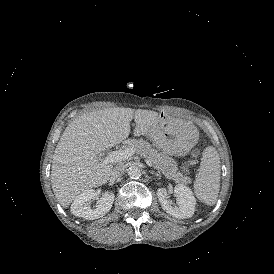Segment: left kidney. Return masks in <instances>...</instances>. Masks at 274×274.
I'll return each mask as SVG.
<instances>
[{
  "label": "left kidney",
  "mask_w": 274,
  "mask_h": 274,
  "mask_svg": "<svg viewBox=\"0 0 274 274\" xmlns=\"http://www.w3.org/2000/svg\"><path fill=\"white\" fill-rule=\"evenodd\" d=\"M177 199V204L169 202L170 194ZM157 198L161 208L178 219L191 218L195 209V198L192 192L184 185H177L171 191L168 187L158 188L156 191Z\"/></svg>",
  "instance_id": "left-kidney-1"
}]
</instances>
